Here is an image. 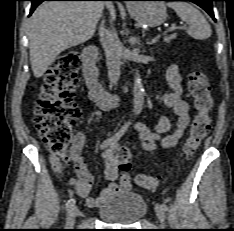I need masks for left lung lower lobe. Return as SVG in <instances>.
Returning a JSON list of instances; mask_svg holds the SVG:
<instances>
[{"label": "left lung lower lobe", "mask_w": 234, "mask_h": 231, "mask_svg": "<svg viewBox=\"0 0 234 231\" xmlns=\"http://www.w3.org/2000/svg\"><path fill=\"white\" fill-rule=\"evenodd\" d=\"M163 1H191L199 5L201 8H203L213 18V20L216 21L212 8V1L216 0H163Z\"/></svg>", "instance_id": "1"}]
</instances>
